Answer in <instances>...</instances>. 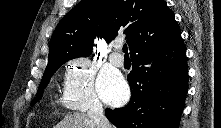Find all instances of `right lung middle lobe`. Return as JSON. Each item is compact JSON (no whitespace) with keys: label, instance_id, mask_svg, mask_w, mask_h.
Here are the masks:
<instances>
[{"label":"right lung middle lobe","instance_id":"obj_1","mask_svg":"<svg viewBox=\"0 0 221 128\" xmlns=\"http://www.w3.org/2000/svg\"><path fill=\"white\" fill-rule=\"evenodd\" d=\"M71 58H67L55 63L48 64L45 70V73L43 75L42 81L40 83L39 89L37 91L36 98L33 100L32 104L35 103L38 99L42 97L44 88L48 85L50 78L52 75L56 72V70L65 62L70 60Z\"/></svg>","mask_w":221,"mask_h":128}]
</instances>
